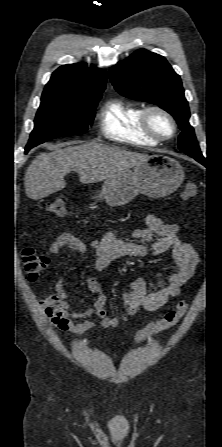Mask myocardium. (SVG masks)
Wrapping results in <instances>:
<instances>
[{
  "mask_svg": "<svg viewBox=\"0 0 222 447\" xmlns=\"http://www.w3.org/2000/svg\"><path fill=\"white\" fill-rule=\"evenodd\" d=\"M154 113L164 116L170 122L172 130L169 135H161V134L157 133L152 128L151 123H150V118H151V115ZM140 120H141V127L145 131V133H147L149 136L153 137L154 139H156L158 141L168 140V139L172 138L177 132V123H176V120L173 117V115L170 112H168L166 109H164L160 106H157V105H152V106H148V107L144 108L142 110Z\"/></svg>",
  "mask_w": 222,
  "mask_h": 447,
  "instance_id": "myocardium-1",
  "label": "myocardium"
}]
</instances>
